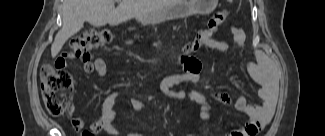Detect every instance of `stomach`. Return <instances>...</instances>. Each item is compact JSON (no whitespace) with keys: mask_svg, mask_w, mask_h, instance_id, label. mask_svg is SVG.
Returning <instances> with one entry per match:
<instances>
[{"mask_svg":"<svg viewBox=\"0 0 325 136\" xmlns=\"http://www.w3.org/2000/svg\"><path fill=\"white\" fill-rule=\"evenodd\" d=\"M218 0H176L175 3L161 11L150 13L137 19L143 23H158L186 17L192 14H208L216 7Z\"/></svg>","mask_w":325,"mask_h":136,"instance_id":"1","label":"stomach"}]
</instances>
